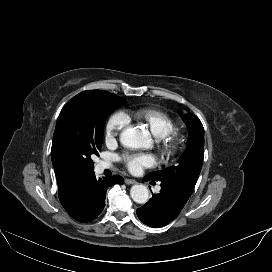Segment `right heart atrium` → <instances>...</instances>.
<instances>
[{"label":"right heart atrium","instance_id":"d8ad5b80","mask_svg":"<svg viewBox=\"0 0 272 272\" xmlns=\"http://www.w3.org/2000/svg\"><path fill=\"white\" fill-rule=\"evenodd\" d=\"M130 118L123 111H116L108 119L105 125V141H116L119 134L129 125Z\"/></svg>","mask_w":272,"mask_h":272}]
</instances>
